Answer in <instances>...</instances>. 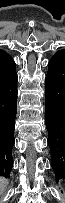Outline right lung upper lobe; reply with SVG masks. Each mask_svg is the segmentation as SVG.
<instances>
[{
  "label": "right lung upper lobe",
  "instance_id": "right-lung-upper-lobe-1",
  "mask_svg": "<svg viewBox=\"0 0 65 203\" xmlns=\"http://www.w3.org/2000/svg\"><path fill=\"white\" fill-rule=\"evenodd\" d=\"M14 65L15 62L13 59L5 51L0 50V68L7 69Z\"/></svg>",
  "mask_w": 65,
  "mask_h": 203
}]
</instances>
